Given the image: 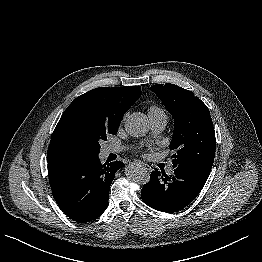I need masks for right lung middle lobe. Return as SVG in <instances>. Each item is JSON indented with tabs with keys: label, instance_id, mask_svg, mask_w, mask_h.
Instances as JSON below:
<instances>
[{
	"label": "right lung middle lobe",
	"instance_id": "dd1d6c3e",
	"mask_svg": "<svg viewBox=\"0 0 262 262\" xmlns=\"http://www.w3.org/2000/svg\"><path fill=\"white\" fill-rule=\"evenodd\" d=\"M118 127L84 114L73 116L54 141L51 152L57 158L92 157L100 153V143Z\"/></svg>",
	"mask_w": 262,
	"mask_h": 262
}]
</instances>
